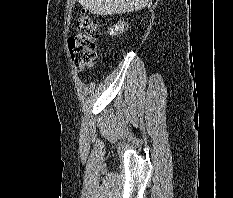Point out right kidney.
<instances>
[{
  "mask_svg": "<svg viewBox=\"0 0 233 198\" xmlns=\"http://www.w3.org/2000/svg\"><path fill=\"white\" fill-rule=\"evenodd\" d=\"M126 26V23L120 22L116 24L114 27L115 28H110V35H116L118 32H122L124 30V27Z\"/></svg>",
  "mask_w": 233,
  "mask_h": 198,
  "instance_id": "obj_1",
  "label": "right kidney"
}]
</instances>
